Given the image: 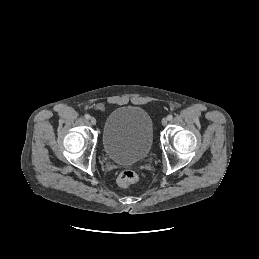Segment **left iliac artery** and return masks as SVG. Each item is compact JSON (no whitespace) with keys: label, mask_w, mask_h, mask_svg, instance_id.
<instances>
[{"label":"left iliac artery","mask_w":259,"mask_h":259,"mask_svg":"<svg viewBox=\"0 0 259 259\" xmlns=\"http://www.w3.org/2000/svg\"><path fill=\"white\" fill-rule=\"evenodd\" d=\"M172 118H173V116L171 114L167 116L168 120H172Z\"/></svg>","instance_id":"obj_1"}]
</instances>
